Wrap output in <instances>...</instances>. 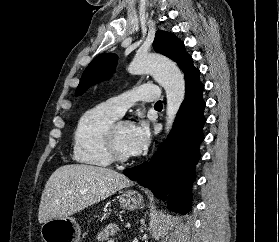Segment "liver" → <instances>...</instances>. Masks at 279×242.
<instances>
[{
	"label": "liver",
	"mask_w": 279,
	"mask_h": 242,
	"mask_svg": "<svg viewBox=\"0 0 279 242\" xmlns=\"http://www.w3.org/2000/svg\"><path fill=\"white\" fill-rule=\"evenodd\" d=\"M133 183L112 169L83 164L64 165L46 182L39 205V223L77 213Z\"/></svg>",
	"instance_id": "liver-1"
}]
</instances>
